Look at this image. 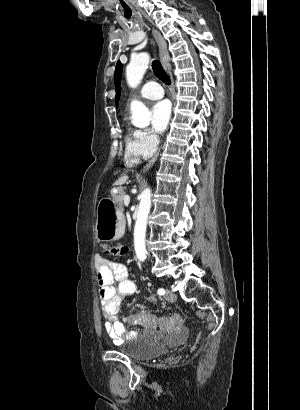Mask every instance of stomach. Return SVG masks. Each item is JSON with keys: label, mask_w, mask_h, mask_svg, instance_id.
<instances>
[{"label": "stomach", "mask_w": 300, "mask_h": 410, "mask_svg": "<svg viewBox=\"0 0 300 410\" xmlns=\"http://www.w3.org/2000/svg\"><path fill=\"white\" fill-rule=\"evenodd\" d=\"M96 235L99 241H114L124 234L125 219L116 203L105 198L97 207Z\"/></svg>", "instance_id": "0dacf381"}]
</instances>
